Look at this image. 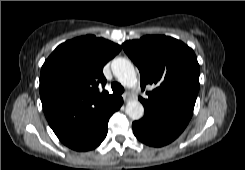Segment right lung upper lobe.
<instances>
[{"label": "right lung upper lobe", "instance_id": "right-lung-upper-lobe-1", "mask_svg": "<svg viewBox=\"0 0 245 170\" xmlns=\"http://www.w3.org/2000/svg\"><path fill=\"white\" fill-rule=\"evenodd\" d=\"M121 50L93 35L59 45L44 62L40 98L50 127L69 145L82 137L119 98L104 88L103 66Z\"/></svg>", "mask_w": 245, "mask_h": 170}]
</instances>
